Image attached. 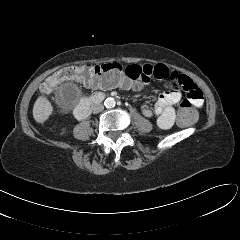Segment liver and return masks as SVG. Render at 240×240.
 Listing matches in <instances>:
<instances>
[{
    "label": "liver",
    "instance_id": "obj_1",
    "mask_svg": "<svg viewBox=\"0 0 240 240\" xmlns=\"http://www.w3.org/2000/svg\"><path fill=\"white\" fill-rule=\"evenodd\" d=\"M53 107L50 101L44 96H40L34 103L33 117L36 122L44 123L52 114Z\"/></svg>",
    "mask_w": 240,
    "mask_h": 240
}]
</instances>
